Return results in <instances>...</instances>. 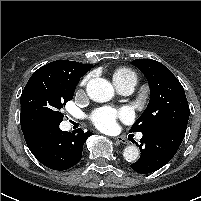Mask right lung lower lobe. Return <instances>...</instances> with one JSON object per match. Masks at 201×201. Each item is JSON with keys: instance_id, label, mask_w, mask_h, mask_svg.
Segmentation results:
<instances>
[{"instance_id": "right-lung-lower-lobe-1", "label": "right lung lower lobe", "mask_w": 201, "mask_h": 201, "mask_svg": "<svg viewBox=\"0 0 201 201\" xmlns=\"http://www.w3.org/2000/svg\"><path fill=\"white\" fill-rule=\"evenodd\" d=\"M92 135L77 129L61 131L59 125L43 126L24 134L26 143L36 159L53 170H66L82 158L83 144Z\"/></svg>"}]
</instances>
